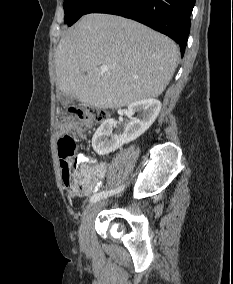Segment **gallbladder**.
Listing matches in <instances>:
<instances>
[{"instance_id":"gallbladder-1","label":"gallbladder","mask_w":233,"mask_h":284,"mask_svg":"<svg viewBox=\"0 0 233 284\" xmlns=\"http://www.w3.org/2000/svg\"><path fill=\"white\" fill-rule=\"evenodd\" d=\"M61 101L64 102L65 104H71L74 101V98L71 96H67V95H62L61 96Z\"/></svg>"}]
</instances>
